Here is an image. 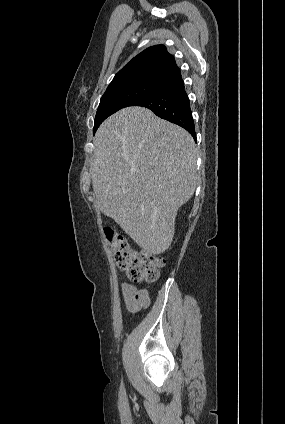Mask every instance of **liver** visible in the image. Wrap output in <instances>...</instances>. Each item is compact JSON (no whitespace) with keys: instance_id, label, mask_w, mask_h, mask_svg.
I'll use <instances>...</instances> for the list:
<instances>
[{"instance_id":"1","label":"liver","mask_w":285,"mask_h":424,"mask_svg":"<svg viewBox=\"0 0 285 424\" xmlns=\"http://www.w3.org/2000/svg\"><path fill=\"white\" fill-rule=\"evenodd\" d=\"M92 187L97 208L151 254L166 251L178 209L196 188L197 150L183 128L143 107H127L93 139Z\"/></svg>"}]
</instances>
